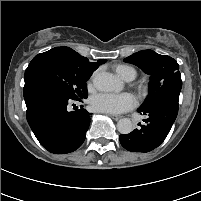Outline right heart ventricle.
<instances>
[{
  "instance_id": "obj_1",
  "label": "right heart ventricle",
  "mask_w": 201,
  "mask_h": 201,
  "mask_svg": "<svg viewBox=\"0 0 201 201\" xmlns=\"http://www.w3.org/2000/svg\"><path fill=\"white\" fill-rule=\"evenodd\" d=\"M115 71L117 75L125 81H132L137 75L136 69L127 64L117 65Z\"/></svg>"
}]
</instances>
